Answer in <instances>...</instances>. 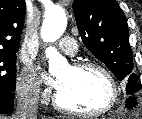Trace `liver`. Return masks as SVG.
<instances>
[{
  "instance_id": "1",
  "label": "liver",
  "mask_w": 142,
  "mask_h": 119,
  "mask_svg": "<svg viewBox=\"0 0 142 119\" xmlns=\"http://www.w3.org/2000/svg\"><path fill=\"white\" fill-rule=\"evenodd\" d=\"M0 119H8V118L0 115ZM41 119H51V118L42 116Z\"/></svg>"
}]
</instances>
